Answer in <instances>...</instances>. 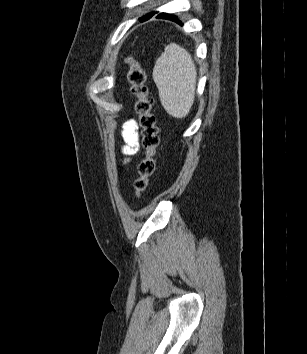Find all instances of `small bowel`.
Here are the masks:
<instances>
[{
  "label": "small bowel",
  "mask_w": 307,
  "mask_h": 354,
  "mask_svg": "<svg viewBox=\"0 0 307 354\" xmlns=\"http://www.w3.org/2000/svg\"><path fill=\"white\" fill-rule=\"evenodd\" d=\"M121 136L123 139L122 153L125 161L130 162L132 157L139 150V134L138 125L134 120L127 121L122 129Z\"/></svg>",
  "instance_id": "1"
}]
</instances>
